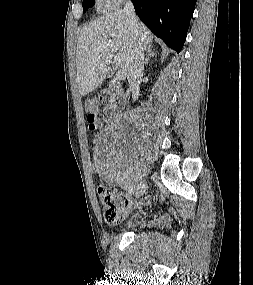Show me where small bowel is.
I'll return each instance as SVG.
<instances>
[{
    "label": "small bowel",
    "mask_w": 253,
    "mask_h": 285,
    "mask_svg": "<svg viewBox=\"0 0 253 285\" xmlns=\"http://www.w3.org/2000/svg\"><path fill=\"white\" fill-rule=\"evenodd\" d=\"M99 121H100V122H103V121H104V118H103V117H100V118H99Z\"/></svg>",
    "instance_id": "obj_1"
}]
</instances>
